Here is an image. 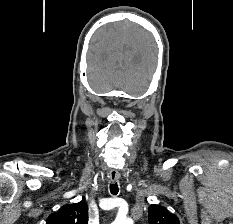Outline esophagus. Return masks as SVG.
I'll list each match as a JSON object with an SVG mask.
<instances>
[{
    "mask_svg": "<svg viewBox=\"0 0 233 224\" xmlns=\"http://www.w3.org/2000/svg\"><path fill=\"white\" fill-rule=\"evenodd\" d=\"M109 177H110L111 183H116V182H118L119 179H120V174H119V172L116 171V170H111V171H110Z\"/></svg>",
    "mask_w": 233,
    "mask_h": 224,
    "instance_id": "1",
    "label": "esophagus"
}]
</instances>
